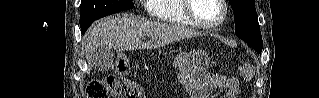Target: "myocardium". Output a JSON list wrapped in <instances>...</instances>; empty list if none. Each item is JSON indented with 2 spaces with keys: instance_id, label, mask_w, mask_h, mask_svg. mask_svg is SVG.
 I'll return each mask as SVG.
<instances>
[{
  "instance_id": "obj_1",
  "label": "myocardium",
  "mask_w": 319,
  "mask_h": 98,
  "mask_svg": "<svg viewBox=\"0 0 319 98\" xmlns=\"http://www.w3.org/2000/svg\"><path fill=\"white\" fill-rule=\"evenodd\" d=\"M219 4L222 6L223 14L220 20L215 23H207L199 19L192 11V0H183V8L187 18L195 25L205 29H217L222 26L228 18V7L225 0H218Z\"/></svg>"
}]
</instances>
